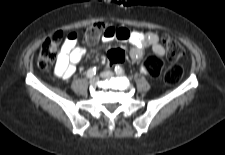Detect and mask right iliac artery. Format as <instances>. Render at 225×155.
Wrapping results in <instances>:
<instances>
[{
	"label": "right iliac artery",
	"mask_w": 225,
	"mask_h": 155,
	"mask_svg": "<svg viewBox=\"0 0 225 155\" xmlns=\"http://www.w3.org/2000/svg\"><path fill=\"white\" fill-rule=\"evenodd\" d=\"M96 72H97L96 67H92L87 71L86 75L88 78H92L96 74Z\"/></svg>",
	"instance_id": "82829eb1"
}]
</instances>
